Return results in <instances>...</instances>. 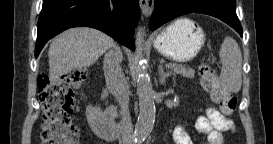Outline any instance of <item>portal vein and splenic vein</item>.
Masks as SVG:
<instances>
[{
    "label": "portal vein and splenic vein",
    "mask_w": 273,
    "mask_h": 144,
    "mask_svg": "<svg viewBox=\"0 0 273 144\" xmlns=\"http://www.w3.org/2000/svg\"><path fill=\"white\" fill-rule=\"evenodd\" d=\"M167 68H175L177 65L172 64V63H168L165 65Z\"/></svg>",
    "instance_id": "obj_1"
}]
</instances>
